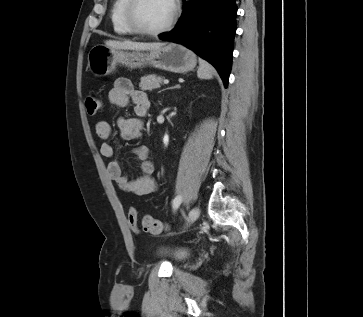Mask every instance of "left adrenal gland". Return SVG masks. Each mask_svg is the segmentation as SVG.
Wrapping results in <instances>:
<instances>
[{
    "mask_svg": "<svg viewBox=\"0 0 363 317\" xmlns=\"http://www.w3.org/2000/svg\"><path fill=\"white\" fill-rule=\"evenodd\" d=\"M177 87H179V85H176V86L168 88V89H173V88H177Z\"/></svg>",
    "mask_w": 363,
    "mask_h": 317,
    "instance_id": "left-adrenal-gland-1",
    "label": "left adrenal gland"
}]
</instances>
